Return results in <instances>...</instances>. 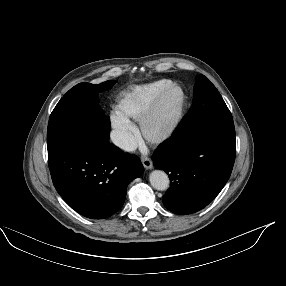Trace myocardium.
I'll use <instances>...</instances> for the list:
<instances>
[{"label":"myocardium","instance_id":"f54148a6","mask_svg":"<svg viewBox=\"0 0 286 286\" xmlns=\"http://www.w3.org/2000/svg\"><path fill=\"white\" fill-rule=\"evenodd\" d=\"M175 90H179L181 92V103L176 115L162 131L158 133H151L149 131V126L153 121L160 105L167 97V95ZM186 109H187V94L184 88L178 84L170 85L153 100V102L149 105V107L141 117L139 126L142 137L152 145H161L166 143L174 136V134L177 132L180 125L182 124L186 114Z\"/></svg>","mask_w":286,"mask_h":286}]
</instances>
